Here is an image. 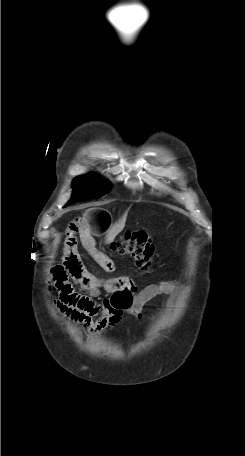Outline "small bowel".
<instances>
[{
  "label": "small bowel",
  "instance_id": "small-bowel-1",
  "mask_svg": "<svg viewBox=\"0 0 245 456\" xmlns=\"http://www.w3.org/2000/svg\"><path fill=\"white\" fill-rule=\"evenodd\" d=\"M109 224L110 215L104 209L90 210L83 217L71 221L66 232L63 263L52 270L53 283L59 293L56 308L95 335L117 325L124 313L141 317L144 305L158 295L171 294L173 302L181 292L175 284L150 285L138 290L134 280L128 276L100 278L89 273L81 264L77 252V236L95 261L106 272H113L114 262L95 248L94 240L107 232ZM69 276L88 291L89 296L77 293L68 281ZM101 292L107 293L108 297L95 299Z\"/></svg>",
  "mask_w": 245,
  "mask_h": 456
}]
</instances>
